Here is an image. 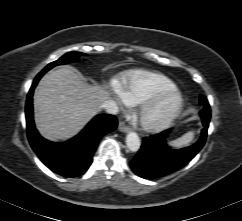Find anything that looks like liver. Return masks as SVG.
I'll return each mask as SVG.
<instances>
[{
    "instance_id": "liver-1",
    "label": "liver",
    "mask_w": 242,
    "mask_h": 221,
    "mask_svg": "<svg viewBox=\"0 0 242 221\" xmlns=\"http://www.w3.org/2000/svg\"><path fill=\"white\" fill-rule=\"evenodd\" d=\"M109 98L105 86L89 85L70 67L52 70L41 78L35 90L37 129L51 141L72 138Z\"/></svg>"
}]
</instances>
